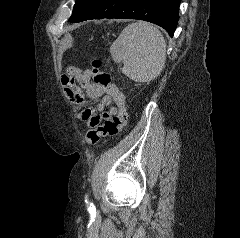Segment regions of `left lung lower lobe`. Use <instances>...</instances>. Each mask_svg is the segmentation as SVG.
<instances>
[{
  "mask_svg": "<svg viewBox=\"0 0 240 238\" xmlns=\"http://www.w3.org/2000/svg\"><path fill=\"white\" fill-rule=\"evenodd\" d=\"M181 0H91L83 13L71 21L91 19H140L163 27L173 37Z\"/></svg>",
  "mask_w": 240,
  "mask_h": 238,
  "instance_id": "1",
  "label": "left lung lower lobe"
}]
</instances>
